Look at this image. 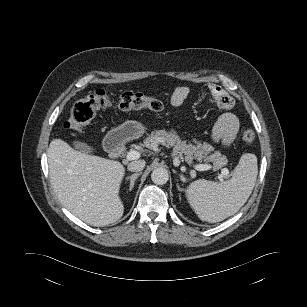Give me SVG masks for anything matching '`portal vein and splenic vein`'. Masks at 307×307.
I'll use <instances>...</instances> for the list:
<instances>
[{"label": "portal vein and splenic vein", "mask_w": 307, "mask_h": 307, "mask_svg": "<svg viewBox=\"0 0 307 307\" xmlns=\"http://www.w3.org/2000/svg\"><path fill=\"white\" fill-rule=\"evenodd\" d=\"M140 157V153L135 151V150H130L128 153H127V160H136ZM194 168L198 171H207V170H210L211 169V165L209 164H198V165H195ZM229 173L228 169L227 168H224L222 169V174L219 178H222L223 175H227Z\"/></svg>", "instance_id": "obj_1"}]
</instances>
